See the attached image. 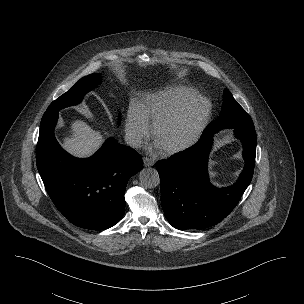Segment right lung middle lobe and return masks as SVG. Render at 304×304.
Returning <instances> with one entry per match:
<instances>
[{
  "instance_id": "right-lung-middle-lobe-1",
  "label": "right lung middle lobe",
  "mask_w": 304,
  "mask_h": 304,
  "mask_svg": "<svg viewBox=\"0 0 304 304\" xmlns=\"http://www.w3.org/2000/svg\"><path fill=\"white\" fill-rule=\"evenodd\" d=\"M101 78L102 77L99 74L95 73L83 77L69 91L53 101L45 113L59 111L64 107L78 104L86 92L90 91L98 85V83L101 81Z\"/></svg>"
}]
</instances>
